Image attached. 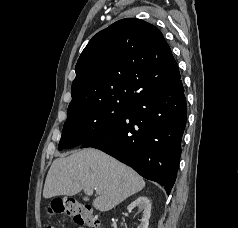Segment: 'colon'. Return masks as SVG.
I'll return each mask as SVG.
<instances>
[{
  "mask_svg": "<svg viewBox=\"0 0 238 228\" xmlns=\"http://www.w3.org/2000/svg\"><path fill=\"white\" fill-rule=\"evenodd\" d=\"M49 211L52 214L67 215L73 219V221L81 226L88 228H100V219L93 210L74 198H65L54 201ZM45 228H54L51 225H47Z\"/></svg>",
  "mask_w": 238,
  "mask_h": 228,
  "instance_id": "5ec220e1",
  "label": "colon"
}]
</instances>
